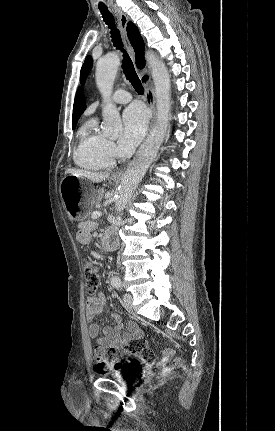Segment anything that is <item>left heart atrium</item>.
<instances>
[{
  "mask_svg": "<svg viewBox=\"0 0 275 431\" xmlns=\"http://www.w3.org/2000/svg\"><path fill=\"white\" fill-rule=\"evenodd\" d=\"M148 124L146 110L138 104L130 105L123 113V129L119 144L123 149H133L144 137Z\"/></svg>",
  "mask_w": 275,
  "mask_h": 431,
  "instance_id": "left-heart-atrium-1",
  "label": "left heart atrium"
}]
</instances>
